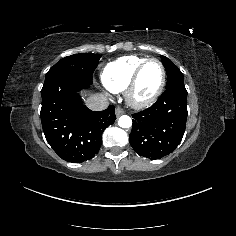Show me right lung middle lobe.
Here are the masks:
<instances>
[{
    "label": "right lung middle lobe",
    "mask_w": 236,
    "mask_h": 236,
    "mask_svg": "<svg viewBox=\"0 0 236 236\" xmlns=\"http://www.w3.org/2000/svg\"><path fill=\"white\" fill-rule=\"evenodd\" d=\"M99 54L82 53L74 54L61 59L46 74L45 81L58 76L73 75L92 83V75L98 66Z\"/></svg>",
    "instance_id": "right-lung-middle-lobe-1"
}]
</instances>
